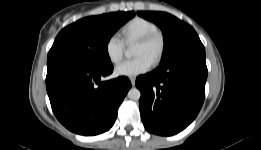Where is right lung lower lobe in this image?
Here are the masks:
<instances>
[{
	"instance_id": "right-lung-lower-lobe-1",
	"label": "right lung lower lobe",
	"mask_w": 261,
	"mask_h": 150,
	"mask_svg": "<svg viewBox=\"0 0 261 150\" xmlns=\"http://www.w3.org/2000/svg\"><path fill=\"white\" fill-rule=\"evenodd\" d=\"M112 72V64L99 68L75 64L47 67L51 107L67 129L80 135H98L113 126L131 83L127 77L101 81Z\"/></svg>"
}]
</instances>
